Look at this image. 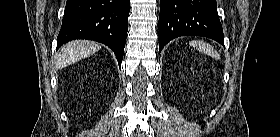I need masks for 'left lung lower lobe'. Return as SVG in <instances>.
<instances>
[{
    "mask_svg": "<svg viewBox=\"0 0 280 137\" xmlns=\"http://www.w3.org/2000/svg\"><path fill=\"white\" fill-rule=\"evenodd\" d=\"M205 36L224 44L216 0H161L160 51L179 36Z\"/></svg>",
    "mask_w": 280,
    "mask_h": 137,
    "instance_id": "0a47b994",
    "label": "left lung lower lobe"
}]
</instances>
